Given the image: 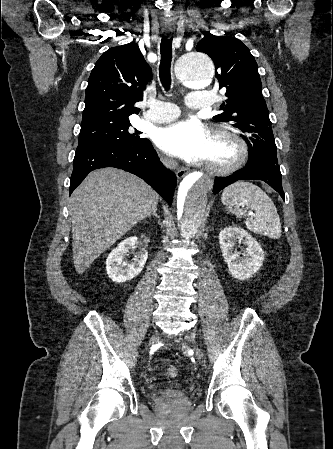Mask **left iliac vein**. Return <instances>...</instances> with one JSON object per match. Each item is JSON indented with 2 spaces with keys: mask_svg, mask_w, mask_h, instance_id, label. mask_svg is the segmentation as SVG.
<instances>
[{
  "mask_svg": "<svg viewBox=\"0 0 333 449\" xmlns=\"http://www.w3.org/2000/svg\"><path fill=\"white\" fill-rule=\"evenodd\" d=\"M187 340L193 342L194 341L193 336L192 335L188 336ZM194 351H195L197 360L200 362L202 359V354H201L200 349L198 347L194 346Z\"/></svg>",
  "mask_w": 333,
  "mask_h": 449,
  "instance_id": "left-iliac-vein-1",
  "label": "left iliac vein"
}]
</instances>
